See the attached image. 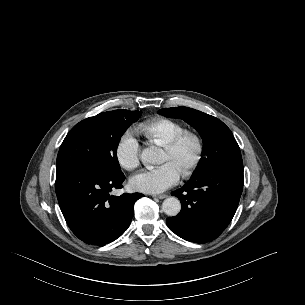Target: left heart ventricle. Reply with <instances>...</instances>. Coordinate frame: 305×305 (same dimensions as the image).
Segmentation results:
<instances>
[{
	"label": "left heart ventricle",
	"mask_w": 305,
	"mask_h": 305,
	"mask_svg": "<svg viewBox=\"0 0 305 305\" xmlns=\"http://www.w3.org/2000/svg\"><path fill=\"white\" fill-rule=\"evenodd\" d=\"M196 155V146L193 140H186L178 150L174 152H169L163 150L161 163H172L175 165L181 172L186 170L191 163L193 162Z\"/></svg>",
	"instance_id": "1"
}]
</instances>
